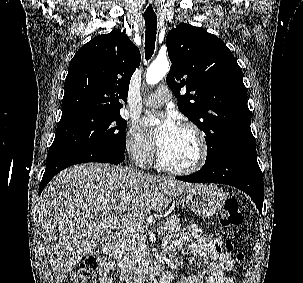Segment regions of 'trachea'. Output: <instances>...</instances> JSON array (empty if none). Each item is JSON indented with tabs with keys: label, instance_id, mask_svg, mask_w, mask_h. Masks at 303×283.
<instances>
[{
	"label": "trachea",
	"instance_id": "1",
	"mask_svg": "<svg viewBox=\"0 0 303 283\" xmlns=\"http://www.w3.org/2000/svg\"><path fill=\"white\" fill-rule=\"evenodd\" d=\"M146 33H145V57L149 60L155 49L157 19L154 16L144 15Z\"/></svg>",
	"mask_w": 303,
	"mask_h": 283
}]
</instances>
